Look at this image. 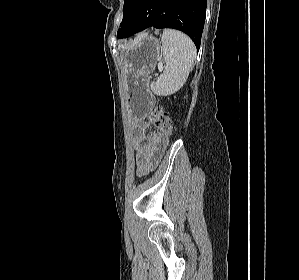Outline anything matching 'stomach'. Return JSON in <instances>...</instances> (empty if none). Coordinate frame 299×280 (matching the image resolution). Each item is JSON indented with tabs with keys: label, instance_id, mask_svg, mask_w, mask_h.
Masks as SVG:
<instances>
[{
	"label": "stomach",
	"instance_id": "0dacf381",
	"mask_svg": "<svg viewBox=\"0 0 299 280\" xmlns=\"http://www.w3.org/2000/svg\"><path fill=\"white\" fill-rule=\"evenodd\" d=\"M159 54V40L146 33L136 37L121 52L125 66L126 101L133 116H146L153 105L147 77L154 71Z\"/></svg>",
	"mask_w": 299,
	"mask_h": 280
}]
</instances>
